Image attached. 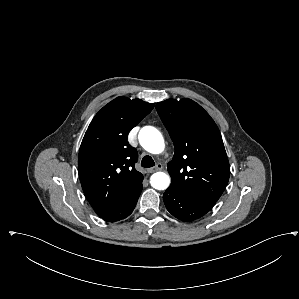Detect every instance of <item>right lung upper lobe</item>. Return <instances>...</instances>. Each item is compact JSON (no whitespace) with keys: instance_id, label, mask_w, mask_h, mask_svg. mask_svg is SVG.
<instances>
[{"instance_id":"1","label":"right lung upper lobe","mask_w":299,"mask_h":299,"mask_svg":"<svg viewBox=\"0 0 299 299\" xmlns=\"http://www.w3.org/2000/svg\"><path fill=\"white\" fill-rule=\"evenodd\" d=\"M154 108L140 99L117 97L93 118L82 140L78 173L82 189L101 217L127 199L143 181L135 170L138 153L129 131Z\"/></svg>"}]
</instances>
